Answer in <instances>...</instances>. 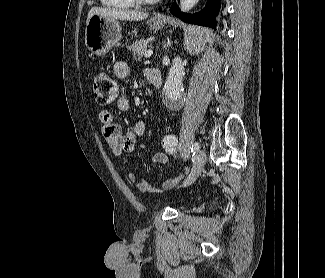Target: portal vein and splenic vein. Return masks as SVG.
Returning <instances> with one entry per match:
<instances>
[{"label":"portal vein and splenic vein","instance_id":"18ae733b","mask_svg":"<svg viewBox=\"0 0 325 278\" xmlns=\"http://www.w3.org/2000/svg\"><path fill=\"white\" fill-rule=\"evenodd\" d=\"M153 54V51L150 49V50H147L146 52H145V57L146 58H149V57H151V55Z\"/></svg>","mask_w":325,"mask_h":278}]
</instances>
